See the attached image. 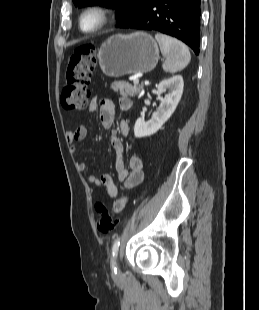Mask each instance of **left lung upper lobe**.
<instances>
[{
    "instance_id": "left-lung-upper-lobe-1",
    "label": "left lung upper lobe",
    "mask_w": 259,
    "mask_h": 310,
    "mask_svg": "<svg viewBox=\"0 0 259 310\" xmlns=\"http://www.w3.org/2000/svg\"><path fill=\"white\" fill-rule=\"evenodd\" d=\"M152 0H73L75 6L101 5L116 10V27L144 9Z\"/></svg>"
}]
</instances>
